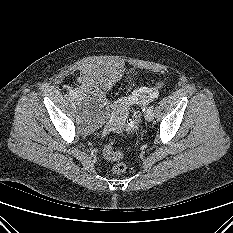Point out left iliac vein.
Segmentation results:
<instances>
[{"mask_svg": "<svg viewBox=\"0 0 233 233\" xmlns=\"http://www.w3.org/2000/svg\"><path fill=\"white\" fill-rule=\"evenodd\" d=\"M144 117H145V119H146L147 121H149V122L152 121L153 118H154L153 110L147 109V110L145 111Z\"/></svg>", "mask_w": 233, "mask_h": 233, "instance_id": "obj_1", "label": "left iliac vein"}]
</instances>
